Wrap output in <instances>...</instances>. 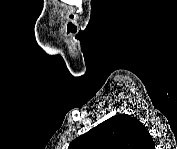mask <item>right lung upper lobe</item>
Listing matches in <instances>:
<instances>
[{"mask_svg":"<svg viewBox=\"0 0 177 149\" xmlns=\"http://www.w3.org/2000/svg\"><path fill=\"white\" fill-rule=\"evenodd\" d=\"M149 132L135 117L119 114L74 139L69 149H148L144 139Z\"/></svg>","mask_w":177,"mask_h":149,"instance_id":"obj_1","label":"right lung upper lobe"}]
</instances>
